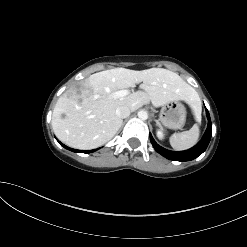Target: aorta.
<instances>
[{
	"label": "aorta",
	"mask_w": 247,
	"mask_h": 247,
	"mask_svg": "<svg viewBox=\"0 0 247 247\" xmlns=\"http://www.w3.org/2000/svg\"><path fill=\"white\" fill-rule=\"evenodd\" d=\"M138 117H139V119H141V120H146V119L148 118V113H147V111H145V110H140V111L138 112Z\"/></svg>",
	"instance_id": "1"
}]
</instances>
